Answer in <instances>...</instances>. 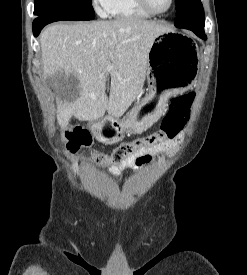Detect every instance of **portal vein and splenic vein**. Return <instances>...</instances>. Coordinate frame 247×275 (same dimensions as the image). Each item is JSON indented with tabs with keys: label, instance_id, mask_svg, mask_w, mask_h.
Instances as JSON below:
<instances>
[{
	"label": "portal vein and splenic vein",
	"instance_id": "portal-vein-and-splenic-vein-1",
	"mask_svg": "<svg viewBox=\"0 0 247 275\" xmlns=\"http://www.w3.org/2000/svg\"><path fill=\"white\" fill-rule=\"evenodd\" d=\"M108 70H111L112 68L110 66L107 67Z\"/></svg>",
	"mask_w": 247,
	"mask_h": 275
}]
</instances>
